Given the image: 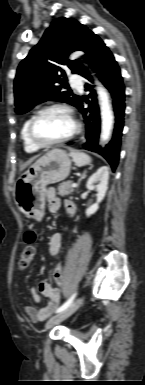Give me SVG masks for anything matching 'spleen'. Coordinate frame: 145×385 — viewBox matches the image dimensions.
<instances>
[{
  "label": "spleen",
  "instance_id": "1",
  "mask_svg": "<svg viewBox=\"0 0 145 385\" xmlns=\"http://www.w3.org/2000/svg\"><path fill=\"white\" fill-rule=\"evenodd\" d=\"M70 155L78 167L86 166L92 161L91 157L83 152L71 151Z\"/></svg>",
  "mask_w": 145,
  "mask_h": 385
}]
</instances>
